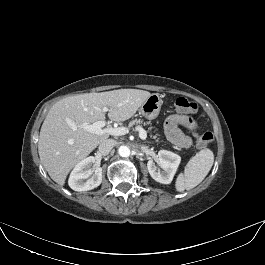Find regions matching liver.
Here are the masks:
<instances>
[{
  "instance_id": "1",
  "label": "liver",
  "mask_w": 265,
  "mask_h": 265,
  "mask_svg": "<svg viewBox=\"0 0 265 265\" xmlns=\"http://www.w3.org/2000/svg\"><path fill=\"white\" fill-rule=\"evenodd\" d=\"M150 95L138 89H119L70 96L56 102L42 124L38 142L40 160L49 176L64 185L70 170L107 140V134L98 135L82 128L83 124L103 121L104 107H109L110 120L123 122L133 117Z\"/></svg>"
}]
</instances>
